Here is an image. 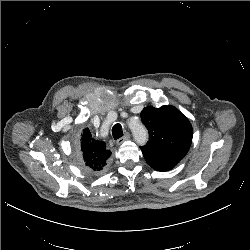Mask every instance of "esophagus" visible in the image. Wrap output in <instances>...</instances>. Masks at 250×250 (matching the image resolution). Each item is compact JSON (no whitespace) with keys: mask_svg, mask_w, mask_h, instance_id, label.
I'll return each mask as SVG.
<instances>
[{"mask_svg":"<svg viewBox=\"0 0 250 250\" xmlns=\"http://www.w3.org/2000/svg\"><path fill=\"white\" fill-rule=\"evenodd\" d=\"M129 139H130V134L127 132V133H125V135L122 138L117 140V144L121 145L123 142H125Z\"/></svg>","mask_w":250,"mask_h":250,"instance_id":"esophagus-1","label":"esophagus"}]
</instances>
